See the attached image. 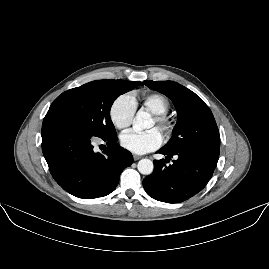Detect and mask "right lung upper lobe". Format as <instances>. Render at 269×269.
<instances>
[{
    "mask_svg": "<svg viewBox=\"0 0 269 269\" xmlns=\"http://www.w3.org/2000/svg\"><path fill=\"white\" fill-rule=\"evenodd\" d=\"M109 81H126V80H109Z\"/></svg>",
    "mask_w": 269,
    "mask_h": 269,
    "instance_id": "obj_1",
    "label": "right lung upper lobe"
}]
</instances>
